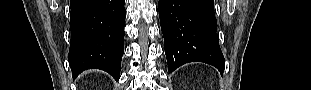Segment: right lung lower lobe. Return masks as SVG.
I'll return each mask as SVG.
<instances>
[{
  "mask_svg": "<svg viewBox=\"0 0 311 90\" xmlns=\"http://www.w3.org/2000/svg\"><path fill=\"white\" fill-rule=\"evenodd\" d=\"M125 0H71L69 65L73 78L87 69L120 77Z\"/></svg>",
  "mask_w": 311,
  "mask_h": 90,
  "instance_id": "right-lung-lower-lobe-1",
  "label": "right lung lower lobe"
}]
</instances>
